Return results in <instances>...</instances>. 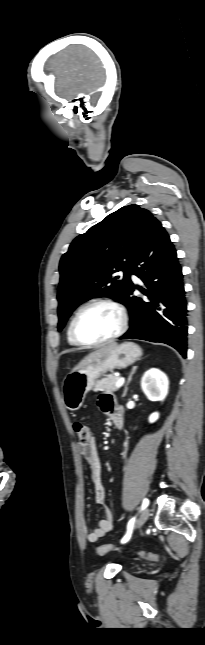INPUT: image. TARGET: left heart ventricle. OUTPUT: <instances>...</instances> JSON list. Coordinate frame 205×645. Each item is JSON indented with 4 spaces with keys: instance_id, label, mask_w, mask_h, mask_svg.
<instances>
[{
    "instance_id": "b2bd125f",
    "label": "left heart ventricle",
    "mask_w": 205,
    "mask_h": 645,
    "mask_svg": "<svg viewBox=\"0 0 205 645\" xmlns=\"http://www.w3.org/2000/svg\"><path fill=\"white\" fill-rule=\"evenodd\" d=\"M118 326L119 315L113 308L95 305L80 314L76 323V331L82 340L95 342L112 335Z\"/></svg>"
}]
</instances>
